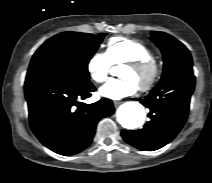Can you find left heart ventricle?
<instances>
[{
	"label": "left heart ventricle",
	"instance_id": "obj_1",
	"mask_svg": "<svg viewBox=\"0 0 212 183\" xmlns=\"http://www.w3.org/2000/svg\"><path fill=\"white\" fill-rule=\"evenodd\" d=\"M120 77L122 79L131 80L137 84V86L141 85L147 79V74L144 72L135 71L127 66L123 67L120 73Z\"/></svg>",
	"mask_w": 212,
	"mask_h": 183
}]
</instances>
